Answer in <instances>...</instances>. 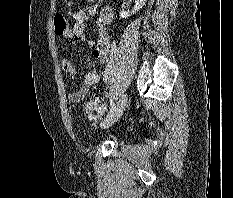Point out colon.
Masks as SVG:
<instances>
[{"mask_svg": "<svg viewBox=\"0 0 233 198\" xmlns=\"http://www.w3.org/2000/svg\"><path fill=\"white\" fill-rule=\"evenodd\" d=\"M54 27L57 35H63L68 29L67 21L62 14H56L54 16ZM85 110L89 114H100L104 110V102L99 97L92 98L86 104Z\"/></svg>", "mask_w": 233, "mask_h": 198, "instance_id": "1", "label": "colon"}]
</instances>
